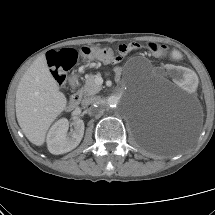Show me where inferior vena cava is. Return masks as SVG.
Segmentation results:
<instances>
[{
	"instance_id": "1",
	"label": "inferior vena cava",
	"mask_w": 215,
	"mask_h": 215,
	"mask_svg": "<svg viewBox=\"0 0 215 215\" xmlns=\"http://www.w3.org/2000/svg\"><path fill=\"white\" fill-rule=\"evenodd\" d=\"M97 102H99V98L98 97H88V98H85L82 101V105L83 106H88V105H91V104H95Z\"/></svg>"
}]
</instances>
